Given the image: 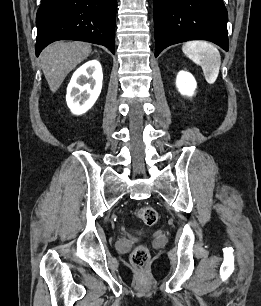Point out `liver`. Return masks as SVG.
<instances>
[{"label":"liver","instance_id":"liver-1","mask_svg":"<svg viewBox=\"0 0 261 306\" xmlns=\"http://www.w3.org/2000/svg\"><path fill=\"white\" fill-rule=\"evenodd\" d=\"M91 46L80 41L54 42L41 53V68L50 90L55 93L65 77L91 53Z\"/></svg>","mask_w":261,"mask_h":306}]
</instances>
